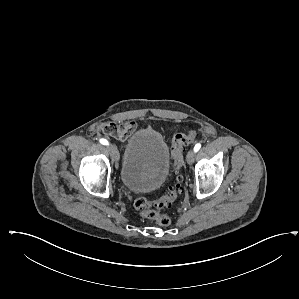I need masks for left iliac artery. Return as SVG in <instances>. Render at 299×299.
I'll list each match as a JSON object with an SVG mask.
<instances>
[{"instance_id":"44dca946","label":"left iliac artery","mask_w":299,"mask_h":299,"mask_svg":"<svg viewBox=\"0 0 299 299\" xmlns=\"http://www.w3.org/2000/svg\"><path fill=\"white\" fill-rule=\"evenodd\" d=\"M200 148H201V144H200V143H197V144L194 146V151L197 152V151H199Z\"/></svg>"}]
</instances>
